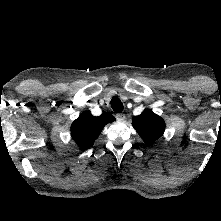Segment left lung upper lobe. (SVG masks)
<instances>
[{
  "mask_svg": "<svg viewBox=\"0 0 221 221\" xmlns=\"http://www.w3.org/2000/svg\"><path fill=\"white\" fill-rule=\"evenodd\" d=\"M132 125L146 144H152L159 139L165 130L164 120L149 109L134 116Z\"/></svg>",
  "mask_w": 221,
  "mask_h": 221,
  "instance_id": "1",
  "label": "left lung upper lobe"
}]
</instances>
